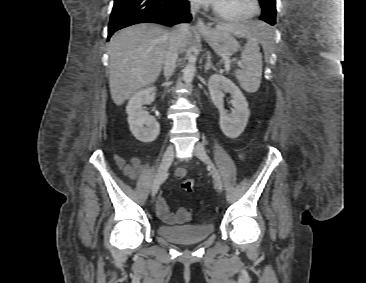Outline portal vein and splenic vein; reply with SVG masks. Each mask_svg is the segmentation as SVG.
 <instances>
[{"label":"portal vein and splenic vein","mask_w":366,"mask_h":283,"mask_svg":"<svg viewBox=\"0 0 366 283\" xmlns=\"http://www.w3.org/2000/svg\"><path fill=\"white\" fill-rule=\"evenodd\" d=\"M224 59L226 60V62L229 60L227 56H225V57H224ZM237 65H238L240 68H243V63H242V61H238V62H237ZM226 68H227V70H228V68H229V67H228V66H226Z\"/></svg>","instance_id":"18ae733b"}]
</instances>
